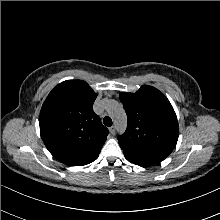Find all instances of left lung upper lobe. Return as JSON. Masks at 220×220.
Wrapping results in <instances>:
<instances>
[{
    "label": "left lung upper lobe",
    "instance_id": "1",
    "mask_svg": "<svg viewBox=\"0 0 220 220\" xmlns=\"http://www.w3.org/2000/svg\"><path fill=\"white\" fill-rule=\"evenodd\" d=\"M128 117L118 137L125 157L146 165L164 160L178 140V122L169 100L156 88L143 85L136 93H120Z\"/></svg>",
    "mask_w": 220,
    "mask_h": 220
}]
</instances>
